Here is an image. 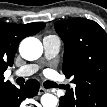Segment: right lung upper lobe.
<instances>
[{
	"instance_id": "right-lung-upper-lobe-1",
	"label": "right lung upper lobe",
	"mask_w": 107,
	"mask_h": 107,
	"mask_svg": "<svg viewBox=\"0 0 107 107\" xmlns=\"http://www.w3.org/2000/svg\"><path fill=\"white\" fill-rule=\"evenodd\" d=\"M45 27L42 22L13 24L0 22V84L4 82L3 73L12 66L19 42L38 33Z\"/></svg>"
}]
</instances>
